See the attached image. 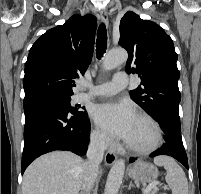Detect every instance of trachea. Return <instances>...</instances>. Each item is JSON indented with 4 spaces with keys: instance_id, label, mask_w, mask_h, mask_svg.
<instances>
[{
    "instance_id": "1",
    "label": "trachea",
    "mask_w": 201,
    "mask_h": 194,
    "mask_svg": "<svg viewBox=\"0 0 201 194\" xmlns=\"http://www.w3.org/2000/svg\"><path fill=\"white\" fill-rule=\"evenodd\" d=\"M107 48V33L105 24H100L97 31V39H96V55L100 60L106 52Z\"/></svg>"
}]
</instances>
